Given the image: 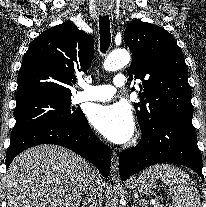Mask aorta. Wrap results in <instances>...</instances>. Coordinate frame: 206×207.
I'll list each match as a JSON object with an SVG mask.
<instances>
[{
    "instance_id": "aorta-1",
    "label": "aorta",
    "mask_w": 206,
    "mask_h": 207,
    "mask_svg": "<svg viewBox=\"0 0 206 207\" xmlns=\"http://www.w3.org/2000/svg\"><path fill=\"white\" fill-rule=\"evenodd\" d=\"M130 61V54L125 49L112 51L104 61V69L106 71H116L126 66Z\"/></svg>"
}]
</instances>
